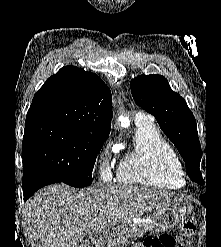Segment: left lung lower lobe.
<instances>
[{
    "label": "left lung lower lobe",
    "mask_w": 221,
    "mask_h": 247,
    "mask_svg": "<svg viewBox=\"0 0 221 247\" xmlns=\"http://www.w3.org/2000/svg\"><path fill=\"white\" fill-rule=\"evenodd\" d=\"M200 200L203 203V205H205V203H206V195H201L200 196Z\"/></svg>",
    "instance_id": "left-lung-lower-lobe-1"
}]
</instances>
